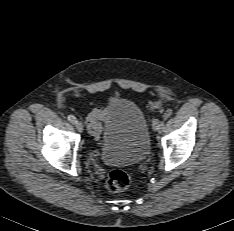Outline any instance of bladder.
Here are the masks:
<instances>
[{
	"instance_id": "1",
	"label": "bladder",
	"mask_w": 234,
	"mask_h": 231,
	"mask_svg": "<svg viewBox=\"0 0 234 231\" xmlns=\"http://www.w3.org/2000/svg\"><path fill=\"white\" fill-rule=\"evenodd\" d=\"M102 137L106 143L103 162L107 165L140 164L151 150L147 119L130 99H118L109 107Z\"/></svg>"
}]
</instances>
